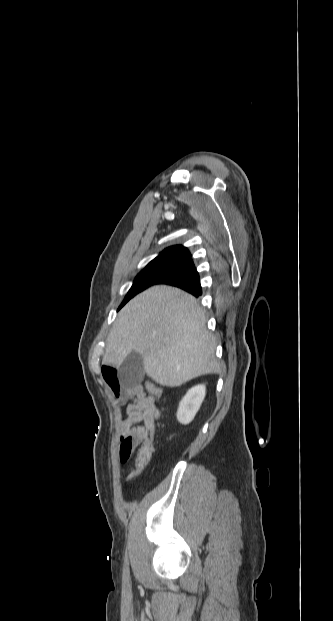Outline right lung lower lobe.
Returning a JSON list of instances; mask_svg holds the SVG:
<instances>
[{"label":"right lung lower lobe","instance_id":"98d812e1","mask_svg":"<svg viewBox=\"0 0 333 621\" xmlns=\"http://www.w3.org/2000/svg\"><path fill=\"white\" fill-rule=\"evenodd\" d=\"M157 284H168L179 287L198 297L202 294L199 274L194 263L189 258L180 268L171 274L161 278Z\"/></svg>","mask_w":333,"mask_h":621}]
</instances>
